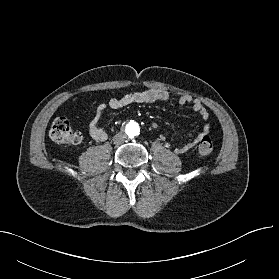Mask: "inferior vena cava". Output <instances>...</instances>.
Returning <instances> with one entry per match:
<instances>
[{"label":"inferior vena cava","mask_w":279,"mask_h":279,"mask_svg":"<svg viewBox=\"0 0 279 279\" xmlns=\"http://www.w3.org/2000/svg\"><path fill=\"white\" fill-rule=\"evenodd\" d=\"M125 141V135L122 133H118L113 137L114 144H122Z\"/></svg>","instance_id":"obj_1"}]
</instances>
